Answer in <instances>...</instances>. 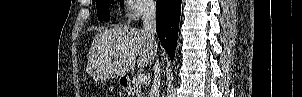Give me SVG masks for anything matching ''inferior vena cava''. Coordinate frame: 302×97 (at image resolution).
<instances>
[{
    "label": "inferior vena cava",
    "instance_id": "inferior-vena-cava-1",
    "mask_svg": "<svg viewBox=\"0 0 302 97\" xmlns=\"http://www.w3.org/2000/svg\"><path fill=\"white\" fill-rule=\"evenodd\" d=\"M143 28L147 35L152 39L156 49H157V42H156V10H155V3L152 0H147L143 4ZM161 68L159 60H156L154 65V78H153V85L150 89L149 97H159L160 92V83H161Z\"/></svg>",
    "mask_w": 302,
    "mask_h": 97
}]
</instances>
